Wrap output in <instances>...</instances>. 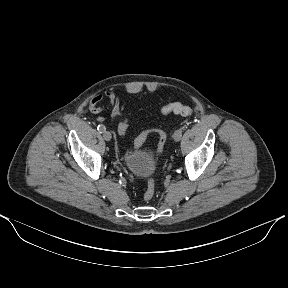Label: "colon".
Segmentation results:
<instances>
[{
	"mask_svg": "<svg viewBox=\"0 0 288 288\" xmlns=\"http://www.w3.org/2000/svg\"><path fill=\"white\" fill-rule=\"evenodd\" d=\"M161 113L162 114L174 113V114L181 115V116H189L193 113V109L179 102H175V103H171V104L164 106L161 109ZM128 126H129V120L125 119L122 121L118 130L122 134H125L128 129ZM151 134L157 135V138H158L157 155H159L162 153L165 143H166V139H167L165 132L161 129L154 128V129L143 131L135 139L134 146L140 147L144 143V141L148 138V136ZM154 194H155V182L153 179H149L147 182L145 192H144V196H143L144 200L150 201L154 197Z\"/></svg>",
	"mask_w": 288,
	"mask_h": 288,
	"instance_id": "colon-1",
	"label": "colon"
}]
</instances>
